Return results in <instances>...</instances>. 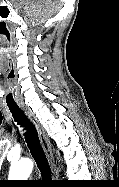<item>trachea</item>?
Returning a JSON list of instances; mask_svg holds the SVG:
<instances>
[{"label": "trachea", "mask_w": 119, "mask_h": 187, "mask_svg": "<svg viewBox=\"0 0 119 187\" xmlns=\"http://www.w3.org/2000/svg\"><path fill=\"white\" fill-rule=\"evenodd\" d=\"M8 107L12 113L14 120L26 130V133L24 135L27 146L30 149V152L41 172L43 179L50 180L51 170L48 166L45 153L40 144L34 125L18 105H8Z\"/></svg>", "instance_id": "obj_1"}]
</instances>
